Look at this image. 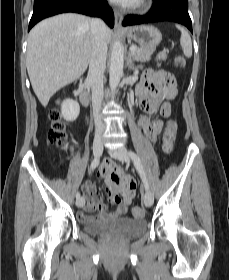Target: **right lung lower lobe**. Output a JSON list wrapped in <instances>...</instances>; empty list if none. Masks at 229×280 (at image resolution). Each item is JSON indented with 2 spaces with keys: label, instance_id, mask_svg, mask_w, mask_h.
Instances as JSON below:
<instances>
[{
  "label": "right lung lower lobe",
  "instance_id": "1",
  "mask_svg": "<svg viewBox=\"0 0 229 280\" xmlns=\"http://www.w3.org/2000/svg\"><path fill=\"white\" fill-rule=\"evenodd\" d=\"M65 12L101 17L112 28L114 14L106 0H35L28 30L44 18Z\"/></svg>",
  "mask_w": 229,
  "mask_h": 280
}]
</instances>
